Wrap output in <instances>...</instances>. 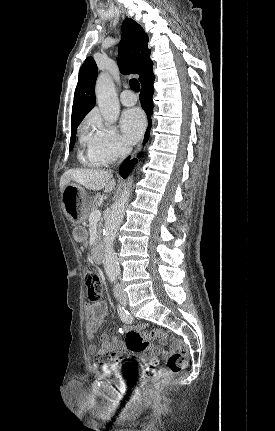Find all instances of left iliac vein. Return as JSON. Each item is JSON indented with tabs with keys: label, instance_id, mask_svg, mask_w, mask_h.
Returning a JSON list of instances; mask_svg holds the SVG:
<instances>
[{
	"label": "left iliac vein",
	"instance_id": "1",
	"mask_svg": "<svg viewBox=\"0 0 275 431\" xmlns=\"http://www.w3.org/2000/svg\"><path fill=\"white\" fill-rule=\"evenodd\" d=\"M121 298H122V303L126 304L127 303V295L126 294H122Z\"/></svg>",
	"mask_w": 275,
	"mask_h": 431
}]
</instances>
